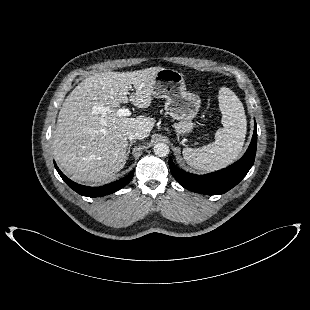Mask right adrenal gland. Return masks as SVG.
Masks as SVG:
<instances>
[{
	"instance_id": "2a0ac1e0",
	"label": "right adrenal gland",
	"mask_w": 310,
	"mask_h": 310,
	"mask_svg": "<svg viewBox=\"0 0 310 310\" xmlns=\"http://www.w3.org/2000/svg\"><path fill=\"white\" fill-rule=\"evenodd\" d=\"M134 142H135V141H130V143H129L128 151H127V159H128V157H129V154H130L131 146L133 145Z\"/></svg>"
}]
</instances>
